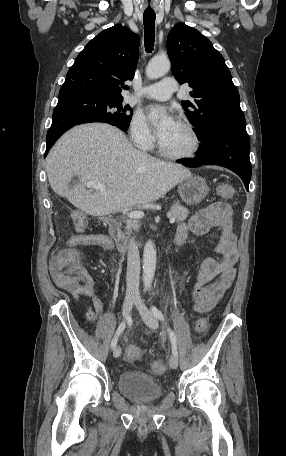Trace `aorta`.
I'll list each match as a JSON object with an SVG mask.
<instances>
[{
  "label": "aorta",
  "mask_w": 286,
  "mask_h": 456,
  "mask_svg": "<svg viewBox=\"0 0 286 456\" xmlns=\"http://www.w3.org/2000/svg\"><path fill=\"white\" fill-rule=\"evenodd\" d=\"M171 64L166 57L152 58L146 67V76L157 79L168 73ZM156 270V248L152 241H147L143 251V282L145 288H150Z\"/></svg>",
  "instance_id": "obj_1"
}]
</instances>
